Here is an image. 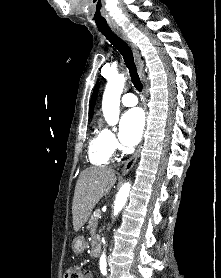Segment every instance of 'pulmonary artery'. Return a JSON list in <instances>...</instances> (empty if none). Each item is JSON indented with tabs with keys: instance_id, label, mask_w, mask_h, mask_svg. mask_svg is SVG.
Returning <instances> with one entry per match:
<instances>
[{
	"instance_id": "e3ab8cb5",
	"label": "pulmonary artery",
	"mask_w": 221,
	"mask_h": 278,
	"mask_svg": "<svg viewBox=\"0 0 221 278\" xmlns=\"http://www.w3.org/2000/svg\"><path fill=\"white\" fill-rule=\"evenodd\" d=\"M121 102L126 107H132L137 105L138 99L134 94L128 93L122 96Z\"/></svg>"
}]
</instances>
